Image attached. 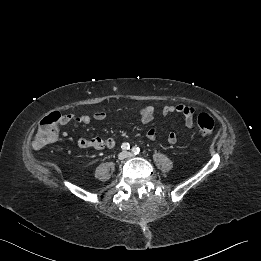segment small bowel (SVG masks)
<instances>
[{"mask_svg":"<svg viewBox=\"0 0 261 261\" xmlns=\"http://www.w3.org/2000/svg\"><path fill=\"white\" fill-rule=\"evenodd\" d=\"M161 115L167 116L174 113H181L184 115L185 118V126L186 128L191 131L194 127V114L195 109L192 106L179 104V105H165L161 109ZM157 112L153 106H146L140 110V121L142 123H149L154 119ZM106 113L104 111H97L92 116L90 115H79V116H70L67 121L73 120L77 124L88 125L91 123L92 120L102 121L106 118ZM158 132L155 128L148 130L146 133V137L150 141L156 140ZM166 140L169 144H175L178 140L177 134L173 131L169 132L166 135ZM116 145V141L111 138H85L81 137L78 140V146L84 150H101L104 148H114Z\"/></svg>","mask_w":261,"mask_h":261,"instance_id":"obj_1","label":"small bowel"}]
</instances>
